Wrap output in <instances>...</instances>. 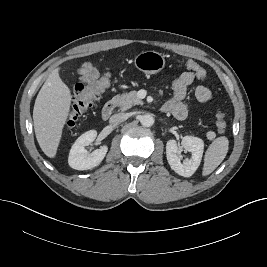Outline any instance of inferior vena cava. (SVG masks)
Returning a JSON list of instances; mask_svg holds the SVG:
<instances>
[{
	"label": "inferior vena cava",
	"instance_id": "inferior-vena-cava-1",
	"mask_svg": "<svg viewBox=\"0 0 267 267\" xmlns=\"http://www.w3.org/2000/svg\"><path fill=\"white\" fill-rule=\"evenodd\" d=\"M127 118H128L127 115L124 113L114 114L110 117L109 123L118 124V123L125 121Z\"/></svg>",
	"mask_w": 267,
	"mask_h": 267
}]
</instances>
